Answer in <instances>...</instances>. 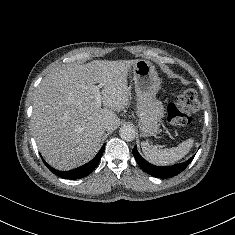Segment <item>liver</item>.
<instances>
[{"instance_id": "obj_1", "label": "liver", "mask_w": 235, "mask_h": 235, "mask_svg": "<svg viewBox=\"0 0 235 235\" xmlns=\"http://www.w3.org/2000/svg\"><path fill=\"white\" fill-rule=\"evenodd\" d=\"M138 60H93L64 66L47 74L38 85L31 117L32 130L45 160L59 170H70L90 161L104 134L115 130V111L128 105L127 75ZM98 84L104 108L97 106Z\"/></svg>"}]
</instances>
